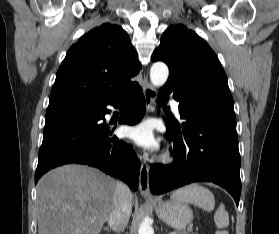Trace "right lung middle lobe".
<instances>
[{"label": "right lung middle lobe", "instance_id": "right-lung-middle-lobe-1", "mask_svg": "<svg viewBox=\"0 0 279 234\" xmlns=\"http://www.w3.org/2000/svg\"><path fill=\"white\" fill-rule=\"evenodd\" d=\"M95 108L93 107H83V106H60L54 108H48L46 112V123L86 116L90 114Z\"/></svg>", "mask_w": 279, "mask_h": 234}]
</instances>
